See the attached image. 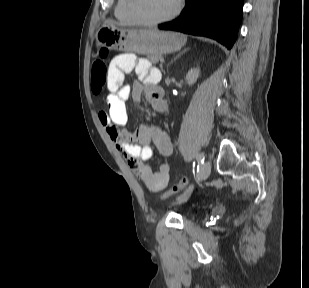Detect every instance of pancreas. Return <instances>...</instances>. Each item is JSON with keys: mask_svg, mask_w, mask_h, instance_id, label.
Listing matches in <instances>:
<instances>
[{"mask_svg": "<svg viewBox=\"0 0 309 288\" xmlns=\"http://www.w3.org/2000/svg\"><path fill=\"white\" fill-rule=\"evenodd\" d=\"M148 58H149L150 62L153 63V64H156L159 61H162L161 56H151V57H148Z\"/></svg>", "mask_w": 309, "mask_h": 288, "instance_id": "obj_1", "label": "pancreas"}]
</instances>
